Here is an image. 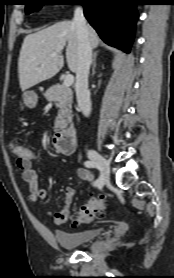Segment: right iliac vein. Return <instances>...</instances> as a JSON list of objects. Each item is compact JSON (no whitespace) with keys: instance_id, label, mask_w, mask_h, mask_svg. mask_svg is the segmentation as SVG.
Masks as SVG:
<instances>
[{"instance_id":"1","label":"right iliac vein","mask_w":174,"mask_h":278,"mask_svg":"<svg viewBox=\"0 0 174 278\" xmlns=\"http://www.w3.org/2000/svg\"><path fill=\"white\" fill-rule=\"evenodd\" d=\"M89 157L91 160H93L94 162H96L99 165V167L103 173L104 179L108 180L109 173H110V166H109L108 161L97 152H91L89 154Z\"/></svg>"}]
</instances>
